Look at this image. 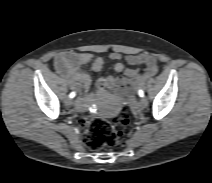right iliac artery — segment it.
I'll use <instances>...</instances> for the list:
<instances>
[{
    "mask_svg": "<svg viewBox=\"0 0 212 183\" xmlns=\"http://www.w3.org/2000/svg\"><path fill=\"white\" fill-rule=\"evenodd\" d=\"M75 95H76L75 92H71V93L69 94V97H70V98H73V97H75Z\"/></svg>",
    "mask_w": 212,
    "mask_h": 183,
    "instance_id": "obj_1",
    "label": "right iliac artery"
}]
</instances>
